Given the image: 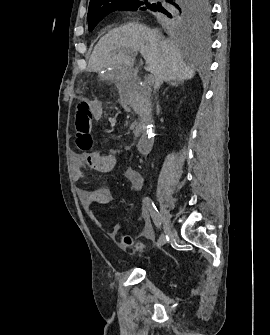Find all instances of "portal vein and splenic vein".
<instances>
[{
	"label": "portal vein and splenic vein",
	"mask_w": 270,
	"mask_h": 335,
	"mask_svg": "<svg viewBox=\"0 0 270 335\" xmlns=\"http://www.w3.org/2000/svg\"><path fill=\"white\" fill-rule=\"evenodd\" d=\"M129 54H133L132 50H130ZM124 64H128V62H124ZM154 79H155V76H154L153 74H150V75L148 76L147 83H148V86H149V87H152V86H153Z\"/></svg>",
	"instance_id": "obj_1"
}]
</instances>
